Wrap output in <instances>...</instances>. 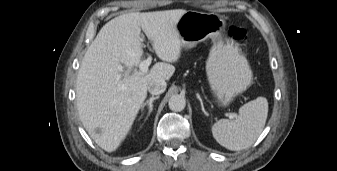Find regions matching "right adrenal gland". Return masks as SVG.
<instances>
[{"instance_id":"2a0ac1e0","label":"right adrenal gland","mask_w":337,"mask_h":171,"mask_svg":"<svg viewBox=\"0 0 337 171\" xmlns=\"http://www.w3.org/2000/svg\"><path fill=\"white\" fill-rule=\"evenodd\" d=\"M158 98H159V96L151 97L149 100H147L145 103L142 104V106H141V108H142L141 110L142 111L144 110V107L146 105H148V115H147V117L150 115V113L153 110V105H152L153 101L156 100V99H158Z\"/></svg>"}]
</instances>
